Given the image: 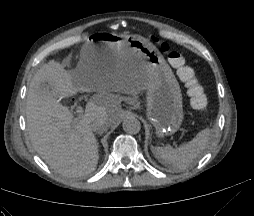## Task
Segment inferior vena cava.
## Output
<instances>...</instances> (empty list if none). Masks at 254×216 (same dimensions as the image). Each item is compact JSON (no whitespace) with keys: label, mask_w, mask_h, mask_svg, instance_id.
<instances>
[{"label":"inferior vena cava","mask_w":254,"mask_h":216,"mask_svg":"<svg viewBox=\"0 0 254 216\" xmlns=\"http://www.w3.org/2000/svg\"><path fill=\"white\" fill-rule=\"evenodd\" d=\"M108 127H109V124L105 118H98L91 123V129L94 132H98V133H102L106 131Z\"/></svg>","instance_id":"inferior-vena-cava-1"}]
</instances>
